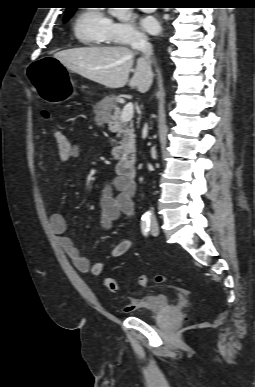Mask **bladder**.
<instances>
[{"mask_svg": "<svg viewBox=\"0 0 255 387\" xmlns=\"http://www.w3.org/2000/svg\"><path fill=\"white\" fill-rule=\"evenodd\" d=\"M170 307L171 302L167 294L149 293L140 298L138 305L133 310H129L128 313L138 317H145L152 316Z\"/></svg>", "mask_w": 255, "mask_h": 387, "instance_id": "obj_1", "label": "bladder"}]
</instances>
